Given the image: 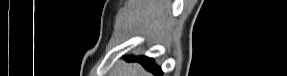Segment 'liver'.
Masks as SVG:
<instances>
[{
    "label": "liver",
    "mask_w": 287,
    "mask_h": 76,
    "mask_svg": "<svg viewBox=\"0 0 287 76\" xmlns=\"http://www.w3.org/2000/svg\"><path fill=\"white\" fill-rule=\"evenodd\" d=\"M117 76H150L138 64L120 65Z\"/></svg>",
    "instance_id": "obj_1"
}]
</instances>
